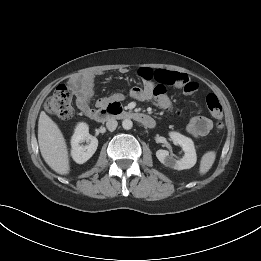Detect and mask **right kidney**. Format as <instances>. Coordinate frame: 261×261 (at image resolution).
<instances>
[{
    "mask_svg": "<svg viewBox=\"0 0 261 261\" xmlns=\"http://www.w3.org/2000/svg\"><path fill=\"white\" fill-rule=\"evenodd\" d=\"M86 141L87 145H81ZM98 146L96 137L89 134V127L86 123H79L71 139V156L78 164H83L95 153Z\"/></svg>",
    "mask_w": 261,
    "mask_h": 261,
    "instance_id": "right-kidney-1",
    "label": "right kidney"
}]
</instances>
